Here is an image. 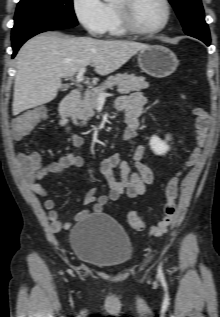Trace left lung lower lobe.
<instances>
[{
  "label": "left lung lower lobe",
  "instance_id": "0a47b994",
  "mask_svg": "<svg viewBox=\"0 0 220 317\" xmlns=\"http://www.w3.org/2000/svg\"><path fill=\"white\" fill-rule=\"evenodd\" d=\"M186 34L203 41L208 46L210 45V34H201L197 32H189Z\"/></svg>",
  "mask_w": 220,
  "mask_h": 317
}]
</instances>
